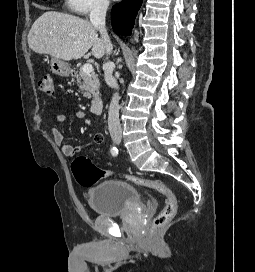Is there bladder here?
I'll list each match as a JSON object with an SVG mask.
<instances>
[{"instance_id":"bladder-1","label":"bladder","mask_w":255,"mask_h":272,"mask_svg":"<svg viewBox=\"0 0 255 272\" xmlns=\"http://www.w3.org/2000/svg\"><path fill=\"white\" fill-rule=\"evenodd\" d=\"M87 199L92 210L106 217L124 215L140 204L138 190L120 180H105L87 192Z\"/></svg>"}]
</instances>
